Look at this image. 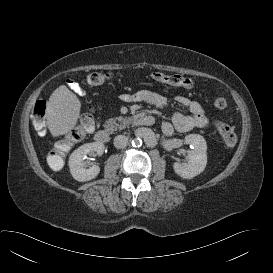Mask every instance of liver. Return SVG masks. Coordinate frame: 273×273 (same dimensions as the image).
I'll return each mask as SVG.
<instances>
[{"instance_id":"obj_1","label":"liver","mask_w":273,"mask_h":273,"mask_svg":"<svg viewBox=\"0 0 273 273\" xmlns=\"http://www.w3.org/2000/svg\"><path fill=\"white\" fill-rule=\"evenodd\" d=\"M81 103L66 86H59L50 96L47 109V126L53 137L65 135L77 124Z\"/></svg>"}]
</instances>
